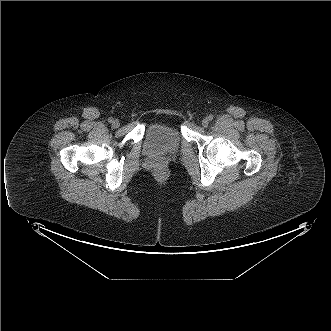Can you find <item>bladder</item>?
Segmentation results:
<instances>
[{"label":"bladder","instance_id":"31cf9c89","mask_svg":"<svg viewBox=\"0 0 331 331\" xmlns=\"http://www.w3.org/2000/svg\"><path fill=\"white\" fill-rule=\"evenodd\" d=\"M182 137L179 129L173 124L154 123L144 133L142 148L149 156H166L179 152Z\"/></svg>","mask_w":331,"mask_h":331}]
</instances>
